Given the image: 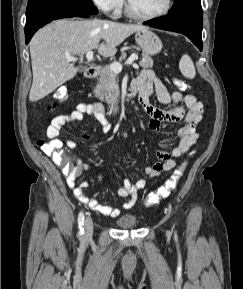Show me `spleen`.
<instances>
[{
	"instance_id": "spleen-1",
	"label": "spleen",
	"mask_w": 243,
	"mask_h": 289,
	"mask_svg": "<svg viewBox=\"0 0 243 289\" xmlns=\"http://www.w3.org/2000/svg\"><path fill=\"white\" fill-rule=\"evenodd\" d=\"M179 68L184 77L193 79L196 75L195 66L189 55L184 54L179 62Z\"/></svg>"
}]
</instances>
